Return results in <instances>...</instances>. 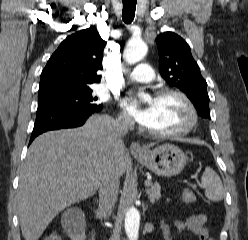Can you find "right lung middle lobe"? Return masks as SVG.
Returning a JSON list of instances; mask_svg holds the SVG:
<instances>
[{"instance_id": "right-lung-middle-lobe-1", "label": "right lung middle lobe", "mask_w": 248, "mask_h": 240, "mask_svg": "<svg viewBox=\"0 0 248 240\" xmlns=\"http://www.w3.org/2000/svg\"><path fill=\"white\" fill-rule=\"evenodd\" d=\"M96 100V97H92V90L87 89L70 94L38 97V107L57 105L80 109H95L102 106V104L96 103Z\"/></svg>"}]
</instances>
